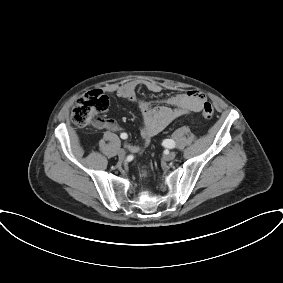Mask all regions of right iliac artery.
<instances>
[{
    "mask_svg": "<svg viewBox=\"0 0 283 283\" xmlns=\"http://www.w3.org/2000/svg\"><path fill=\"white\" fill-rule=\"evenodd\" d=\"M120 137H121L122 139H126L128 136H127L126 133H122V134L120 135Z\"/></svg>",
    "mask_w": 283,
    "mask_h": 283,
    "instance_id": "82829eb1",
    "label": "right iliac artery"
}]
</instances>
